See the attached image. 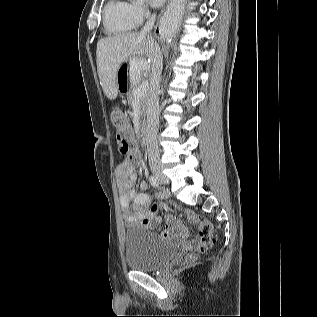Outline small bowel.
I'll use <instances>...</instances> for the list:
<instances>
[{"mask_svg": "<svg viewBox=\"0 0 317 317\" xmlns=\"http://www.w3.org/2000/svg\"><path fill=\"white\" fill-rule=\"evenodd\" d=\"M118 187L120 192V205L123 217L127 224L141 223L146 227L154 228L161 219L150 209L152 199L143 192L148 188L147 183H141L140 190L135 188L137 179L136 173L123 163L117 168ZM166 193L160 191L158 198H164ZM187 218L195 223L199 229V236L211 229L210 224L191 211L186 212ZM166 229L162 232V237L169 239L174 236L187 237L186 228L173 216H166Z\"/></svg>", "mask_w": 317, "mask_h": 317, "instance_id": "small-bowel-1", "label": "small bowel"}]
</instances>
